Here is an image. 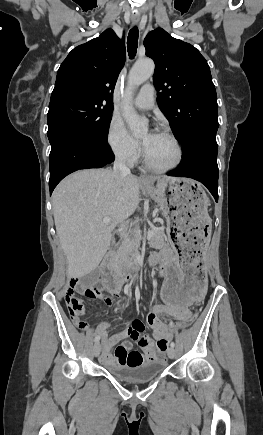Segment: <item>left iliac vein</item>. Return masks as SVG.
<instances>
[{
    "mask_svg": "<svg viewBox=\"0 0 263 435\" xmlns=\"http://www.w3.org/2000/svg\"><path fill=\"white\" fill-rule=\"evenodd\" d=\"M175 354H176L175 349H174L173 347H170V348L168 349V351H167V355H168V357L172 359V358L175 357Z\"/></svg>",
    "mask_w": 263,
    "mask_h": 435,
    "instance_id": "left-iliac-vein-1",
    "label": "left iliac vein"
}]
</instances>
